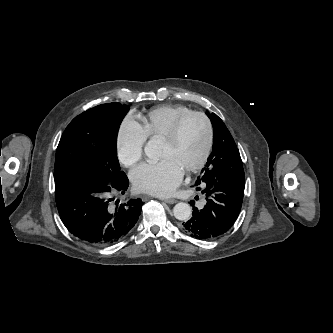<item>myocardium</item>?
<instances>
[{"label": "myocardium", "mask_w": 333, "mask_h": 333, "mask_svg": "<svg viewBox=\"0 0 333 333\" xmlns=\"http://www.w3.org/2000/svg\"><path fill=\"white\" fill-rule=\"evenodd\" d=\"M191 118H199L204 122L207 131V138H206V145L200 159L196 163L192 164L191 166L185 169L187 173H192L201 169L207 163L210 157L214 145V128L211 119L203 112L191 111L179 117L173 123L167 134L163 137L164 141L168 143H174L178 139L181 128L184 125V123Z\"/></svg>", "instance_id": "f54148a6"}]
</instances>
